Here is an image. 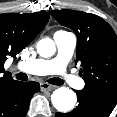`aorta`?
<instances>
[{
    "mask_svg": "<svg viewBox=\"0 0 117 117\" xmlns=\"http://www.w3.org/2000/svg\"><path fill=\"white\" fill-rule=\"evenodd\" d=\"M55 51V43L49 38L42 39L37 44V52L41 57H51ZM51 102L59 112L66 113L74 108L77 102V96L71 89L61 87L52 93Z\"/></svg>",
    "mask_w": 117,
    "mask_h": 117,
    "instance_id": "762f6f07",
    "label": "aorta"
}]
</instances>
